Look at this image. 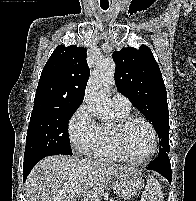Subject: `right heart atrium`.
Masks as SVG:
<instances>
[{"label": "right heart atrium", "mask_w": 196, "mask_h": 201, "mask_svg": "<svg viewBox=\"0 0 196 201\" xmlns=\"http://www.w3.org/2000/svg\"><path fill=\"white\" fill-rule=\"evenodd\" d=\"M70 143L80 154H91L100 138V124L96 121L89 106L82 103L68 122Z\"/></svg>", "instance_id": "obj_1"}]
</instances>
